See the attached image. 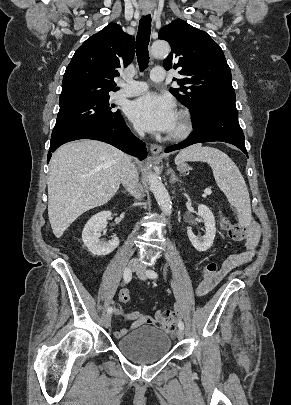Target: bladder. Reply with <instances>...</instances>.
<instances>
[{
    "instance_id": "bladder-1",
    "label": "bladder",
    "mask_w": 291,
    "mask_h": 405,
    "mask_svg": "<svg viewBox=\"0 0 291 405\" xmlns=\"http://www.w3.org/2000/svg\"><path fill=\"white\" fill-rule=\"evenodd\" d=\"M116 348L129 361L148 365L160 361L169 353L171 339L158 328L141 326L120 337Z\"/></svg>"
}]
</instances>
